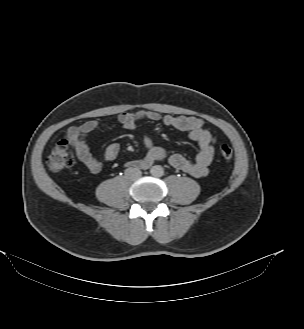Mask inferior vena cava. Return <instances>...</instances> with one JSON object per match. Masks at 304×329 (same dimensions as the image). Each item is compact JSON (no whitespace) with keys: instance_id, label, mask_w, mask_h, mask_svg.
<instances>
[{"instance_id":"602c4592","label":"inferior vena cava","mask_w":304,"mask_h":329,"mask_svg":"<svg viewBox=\"0 0 304 329\" xmlns=\"http://www.w3.org/2000/svg\"><path fill=\"white\" fill-rule=\"evenodd\" d=\"M142 175V172L138 168H128L125 170V176L129 180H136L140 178Z\"/></svg>"}]
</instances>
